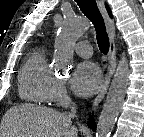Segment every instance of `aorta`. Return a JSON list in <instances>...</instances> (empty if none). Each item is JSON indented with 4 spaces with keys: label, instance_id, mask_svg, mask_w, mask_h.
Returning <instances> with one entry per match:
<instances>
[{
    "label": "aorta",
    "instance_id": "obj_1",
    "mask_svg": "<svg viewBox=\"0 0 144 137\" xmlns=\"http://www.w3.org/2000/svg\"><path fill=\"white\" fill-rule=\"evenodd\" d=\"M87 22L76 16H67L55 40L53 62L57 68L67 70L73 63L74 45L87 27ZM129 64L123 52L103 105L96 128V137H110L122 109L129 81Z\"/></svg>",
    "mask_w": 144,
    "mask_h": 137
}]
</instances>
